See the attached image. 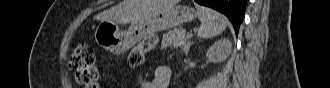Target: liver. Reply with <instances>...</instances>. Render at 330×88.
Returning <instances> with one entry per match:
<instances>
[{"label":"liver","mask_w":330,"mask_h":88,"mask_svg":"<svg viewBox=\"0 0 330 88\" xmlns=\"http://www.w3.org/2000/svg\"><path fill=\"white\" fill-rule=\"evenodd\" d=\"M175 3L176 0H123L102 13L101 20L120 24L136 23Z\"/></svg>","instance_id":"1"}]
</instances>
